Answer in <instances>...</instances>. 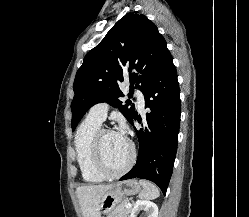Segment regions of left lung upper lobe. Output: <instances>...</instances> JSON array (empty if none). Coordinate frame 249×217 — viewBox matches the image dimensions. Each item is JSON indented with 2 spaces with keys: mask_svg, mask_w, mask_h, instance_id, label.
Here are the masks:
<instances>
[{
  "mask_svg": "<svg viewBox=\"0 0 249 217\" xmlns=\"http://www.w3.org/2000/svg\"><path fill=\"white\" fill-rule=\"evenodd\" d=\"M169 55L165 39L146 16L128 13L122 17L86 54L76 73L71 103L72 130L89 108L100 102L119 108L131 122L134 104L130 100L123 104L119 99L123 94L117 88L118 81H123L125 66L130 73L131 92L134 84L144 92Z\"/></svg>",
  "mask_w": 249,
  "mask_h": 217,
  "instance_id": "obj_1",
  "label": "left lung upper lobe"
}]
</instances>
